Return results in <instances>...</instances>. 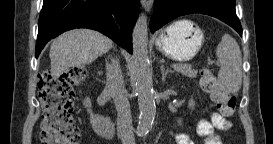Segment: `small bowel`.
<instances>
[{"label":"small bowel","mask_w":273,"mask_h":144,"mask_svg":"<svg viewBox=\"0 0 273 144\" xmlns=\"http://www.w3.org/2000/svg\"><path fill=\"white\" fill-rule=\"evenodd\" d=\"M232 123L217 112L210 114V119H200L196 131L203 138L204 144H222L221 131L228 130ZM177 144H193L185 133L179 132L175 136Z\"/></svg>","instance_id":"1"}]
</instances>
